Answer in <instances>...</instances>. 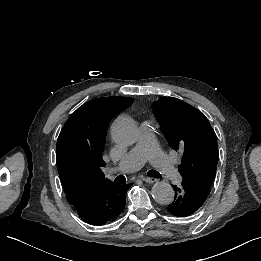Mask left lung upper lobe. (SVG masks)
Wrapping results in <instances>:
<instances>
[{
    "label": "left lung upper lobe",
    "instance_id": "1",
    "mask_svg": "<svg viewBox=\"0 0 261 261\" xmlns=\"http://www.w3.org/2000/svg\"><path fill=\"white\" fill-rule=\"evenodd\" d=\"M153 111L170 146L183 153L178 167L183 179L210 189L219 151L208 119L196 108L174 97L154 101Z\"/></svg>",
    "mask_w": 261,
    "mask_h": 261
}]
</instances>
